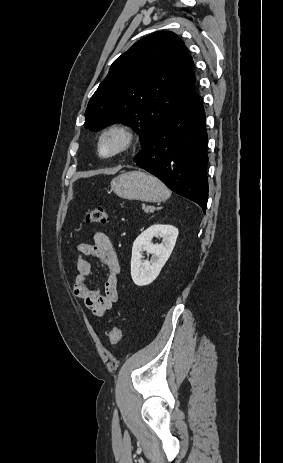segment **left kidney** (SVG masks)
<instances>
[{"label":"left kidney","instance_id":"5707ae66","mask_svg":"<svg viewBox=\"0 0 283 463\" xmlns=\"http://www.w3.org/2000/svg\"><path fill=\"white\" fill-rule=\"evenodd\" d=\"M178 236V229L172 225L155 224L140 234L133 243L131 277L137 286L152 283L169 259ZM153 237H160L161 244H153ZM142 251L152 255V260L142 261Z\"/></svg>","mask_w":283,"mask_h":463}]
</instances>
